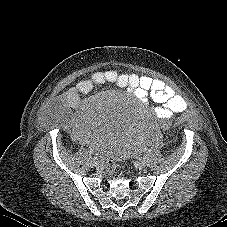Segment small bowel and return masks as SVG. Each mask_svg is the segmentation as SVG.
Masks as SVG:
<instances>
[{"mask_svg": "<svg viewBox=\"0 0 227 227\" xmlns=\"http://www.w3.org/2000/svg\"><path fill=\"white\" fill-rule=\"evenodd\" d=\"M107 84L126 89L142 102L150 97L159 104L151 108V112L160 120L171 119L186 107L185 100L170 85L160 79L137 74H119L114 70L97 71L90 77L80 80L60 97L62 103L74 110V113L63 116L61 125L77 143L101 146L98 138L90 136L91 125L86 117L88 101L84 99V96L93 89Z\"/></svg>", "mask_w": 227, "mask_h": 227, "instance_id": "1", "label": "small bowel"}]
</instances>
